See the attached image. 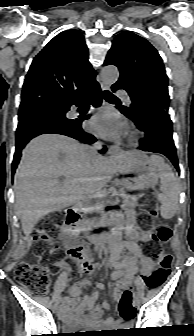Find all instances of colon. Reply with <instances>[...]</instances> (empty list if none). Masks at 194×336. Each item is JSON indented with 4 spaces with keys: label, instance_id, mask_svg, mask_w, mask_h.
Segmentation results:
<instances>
[{
    "label": "colon",
    "instance_id": "obj_1",
    "mask_svg": "<svg viewBox=\"0 0 194 336\" xmlns=\"http://www.w3.org/2000/svg\"><path fill=\"white\" fill-rule=\"evenodd\" d=\"M157 217L154 203L151 200H145L140 218L141 224L146 228L142 244L151 258L159 260V267L154 272L144 275L145 284L149 288H157L165 281L173 263L172 255L162 249L163 243L171 237V230L168 226L158 223ZM61 221V213L49 215L38 224L34 235L36 253L39 256H50L54 263H59L62 259L57 243L58 226ZM14 277L17 282L33 293L43 295L48 292L49 273L45 266L21 262L14 269ZM123 299H130L129 291L124 292Z\"/></svg>",
    "mask_w": 194,
    "mask_h": 336
}]
</instances>
